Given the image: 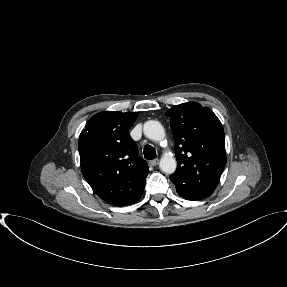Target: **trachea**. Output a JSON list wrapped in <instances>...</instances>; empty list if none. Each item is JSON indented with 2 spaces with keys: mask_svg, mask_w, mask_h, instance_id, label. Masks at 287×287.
<instances>
[{
  "mask_svg": "<svg viewBox=\"0 0 287 287\" xmlns=\"http://www.w3.org/2000/svg\"><path fill=\"white\" fill-rule=\"evenodd\" d=\"M145 159L152 160L156 158V151L151 145H146L143 150Z\"/></svg>",
  "mask_w": 287,
  "mask_h": 287,
  "instance_id": "obj_1",
  "label": "trachea"
}]
</instances>
